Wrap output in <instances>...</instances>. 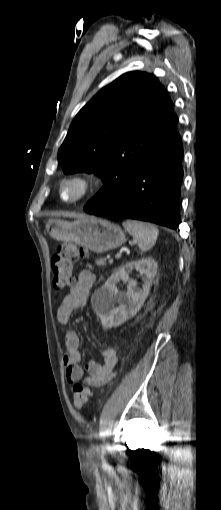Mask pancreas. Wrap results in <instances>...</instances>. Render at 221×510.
Masks as SVG:
<instances>
[{"label": "pancreas", "mask_w": 221, "mask_h": 510, "mask_svg": "<svg viewBox=\"0 0 221 510\" xmlns=\"http://www.w3.org/2000/svg\"><path fill=\"white\" fill-rule=\"evenodd\" d=\"M95 263L98 266H104L106 265V259H96Z\"/></svg>", "instance_id": "cf45deb5"}]
</instances>
